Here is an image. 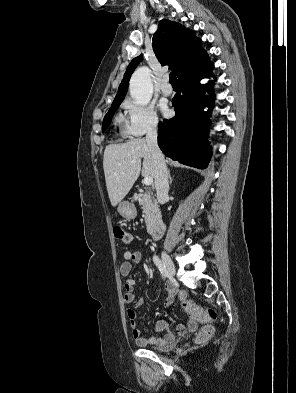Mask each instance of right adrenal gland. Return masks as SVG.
Returning a JSON list of instances; mask_svg holds the SVG:
<instances>
[{
	"label": "right adrenal gland",
	"mask_w": 296,
	"mask_h": 393,
	"mask_svg": "<svg viewBox=\"0 0 296 393\" xmlns=\"http://www.w3.org/2000/svg\"><path fill=\"white\" fill-rule=\"evenodd\" d=\"M168 178H169V183L172 184L173 179H172V177L170 175V171L169 170H168Z\"/></svg>",
	"instance_id": "obj_1"
}]
</instances>
